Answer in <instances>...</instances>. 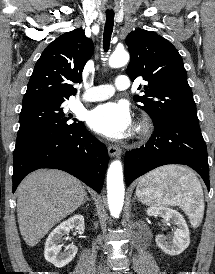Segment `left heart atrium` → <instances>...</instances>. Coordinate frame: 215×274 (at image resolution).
<instances>
[{
    "label": "left heart atrium",
    "mask_w": 215,
    "mask_h": 274,
    "mask_svg": "<svg viewBox=\"0 0 215 274\" xmlns=\"http://www.w3.org/2000/svg\"><path fill=\"white\" fill-rule=\"evenodd\" d=\"M87 121L94 131L110 139L125 138L132 129L131 113L123 103L101 104L90 111Z\"/></svg>",
    "instance_id": "left-heart-atrium-1"
}]
</instances>
